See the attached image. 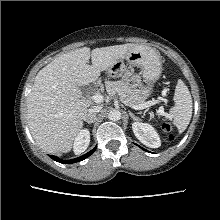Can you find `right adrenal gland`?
I'll return each mask as SVG.
<instances>
[{
	"label": "right adrenal gland",
	"instance_id": "2a0ac1e0",
	"mask_svg": "<svg viewBox=\"0 0 220 220\" xmlns=\"http://www.w3.org/2000/svg\"><path fill=\"white\" fill-rule=\"evenodd\" d=\"M94 117H95V115L93 116V119L91 121H89V123H93L94 122Z\"/></svg>",
	"mask_w": 220,
	"mask_h": 220
}]
</instances>
